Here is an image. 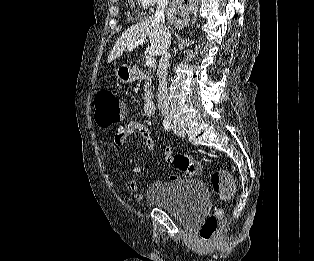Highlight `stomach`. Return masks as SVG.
Segmentation results:
<instances>
[{"label": "stomach", "instance_id": "stomach-1", "mask_svg": "<svg viewBox=\"0 0 314 261\" xmlns=\"http://www.w3.org/2000/svg\"><path fill=\"white\" fill-rule=\"evenodd\" d=\"M116 76L122 83H131L136 79L135 69L128 65H122L117 68Z\"/></svg>", "mask_w": 314, "mask_h": 261}]
</instances>
